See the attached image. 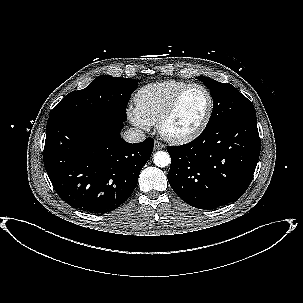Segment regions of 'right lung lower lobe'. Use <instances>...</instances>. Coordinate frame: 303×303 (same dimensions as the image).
<instances>
[{
	"instance_id": "98d812e1",
	"label": "right lung lower lobe",
	"mask_w": 303,
	"mask_h": 303,
	"mask_svg": "<svg viewBox=\"0 0 303 303\" xmlns=\"http://www.w3.org/2000/svg\"><path fill=\"white\" fill-rule=\"evenodd\" d=\"M123 122L106 114L48 119L44 166L56 193L72 207L103 214L132 194L154 140L125 142Z\"/></svg>"
}]
</instances>
